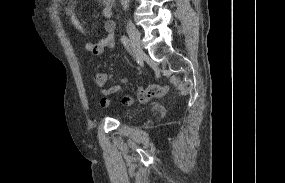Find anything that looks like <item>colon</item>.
Masks as SVG:
<instances>
[{
  "label": "colon",
  "instance_id": "5ec220e1",
  "mask_svg": "<svg viewBox=\"0 0 285 183\" xmlns=\"http://www.w3.org/2000/svg\"><path fill=\"white\" fill-rule=\"evenodd\" d=\"M124 102H125L126 104H129V103H132L133 100L130 99L129 97H126V98L124 99Z\"/></svg>",
  "mask_w": 285,
  "mask_h": 183
}]
</instances>
